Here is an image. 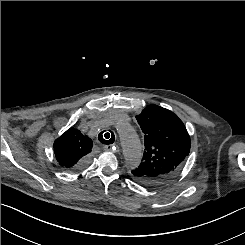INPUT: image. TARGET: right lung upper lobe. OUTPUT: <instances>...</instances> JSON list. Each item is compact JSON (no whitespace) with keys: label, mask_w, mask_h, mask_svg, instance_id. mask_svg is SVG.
<instances>
[{"label":"right lung upper lobe","mask_w":245,"mask_h":245,"mask_svg":"<svg viewBox=\"0 0 245 245\" xmlns=\"http://www.w3.org/2000/svg\"><path fill=\"white\" fill-rule=\"evenodd\" d=\"M93 142L79 130L71 127L54 142V153L60 165L68 170L75 169L87 158Z\"/></svg>","instance_id":"1"}]
</instances>
